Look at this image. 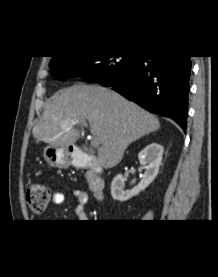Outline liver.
<instances>
[{
  "label": "liver",
  "mask_w": 218,
  "mask_h": 277,
  "mask_svg": "<svg viewBox=\"0 0 218 277\" xmlns=\"http://www.w3.org/2000/svg\"><path fill=\"white\" fill-rule=\"evenodd\" d=\"M89 123L100 141L98 162L116 166L132 142L160 128L157 117L118 93L98 85H74L58 91L46 105L33 136L54 147H68L80 137L66 122Z\"/></svg>",
  "instance_id": "6515ba94"
}]
</instances>
